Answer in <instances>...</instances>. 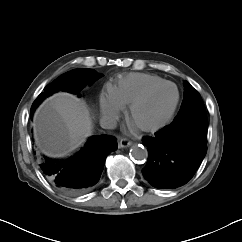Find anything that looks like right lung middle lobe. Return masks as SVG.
<instances>
[{"label": "right lung middle lobe", "instance_id": "right-lung-middle-lobe-1", "mask_svg": "<svg viewBox=\"0 0 242 242\" xmlns=\"http://www.w3.org/2000/svg\"><path fill=\"white\" fill-rule=\"evenodd\" d=\"M100 77L102 74L96 73L92 69L83 68L66 72L45 87L44 92L37 97L32 107L35 109L46 97L58 91L78 94L84 87L91 85Z\"/></svg>", "mask_w": 242, "mask_h": 242}]
</instances>
